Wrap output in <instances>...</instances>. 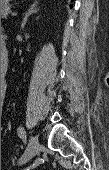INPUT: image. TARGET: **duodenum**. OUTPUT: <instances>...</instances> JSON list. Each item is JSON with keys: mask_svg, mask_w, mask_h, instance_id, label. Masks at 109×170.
<instances>
[{"mask_svg": "<svg viewBox=\"0 0 109 170\" xmlns=\"http://www.w3.org/2000/svg\"><path fill=\"white\" fill-rule=\"evenodd\" d=\"M2 49H3V51L6 50V45H5V43H3V45H2ZM7 62H8L7 54H4V56H3V64L6 65Z\"/></svg>", "mask_w": 109, "mask_h": 170, "instance_id": "1", "label": "duodenum"}]
</instances>
